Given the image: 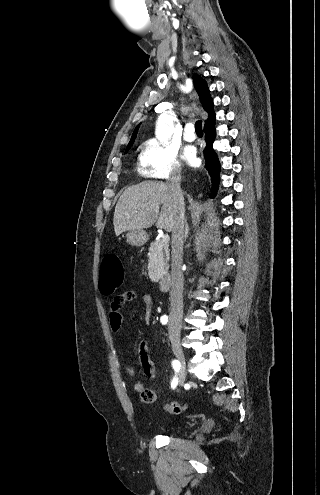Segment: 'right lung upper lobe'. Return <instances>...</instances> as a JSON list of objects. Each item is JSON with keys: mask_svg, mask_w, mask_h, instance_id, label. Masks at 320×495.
<instances>
[{"mask_svg": "<svg viewBox=\"0 0 320 495\" xmlns=\"http://www.w3.org/2000/svg\"><path fill=\"white\" fill-rule=\"evenodd\" d=\"M193 82L195 85V88L198 92L200 102L204 108V110L208 113V119L205 122V126L212 124L215 122V112L213 110V101L210 96V91L207 86L206 81L198 74H193ZM138 127L137 126L132 134L131 140L127 146L126 149H129L131 145L134 143V140L137 136L138 132Z\"/></svg>", "mask_w": 320, "mask_h": 495, "instance_id": "obj_1", "label": "right lung upper lobe"}]
</instances>
